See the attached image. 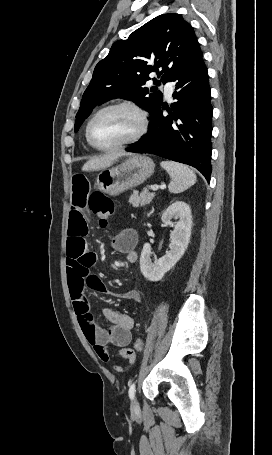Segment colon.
<instances>
[{
  "instance_id": "obj_1",
  "label": "colon",
  "mask_w": 272,
  "mask_h": 455,
  "mask_svg": "<svg viewBox=\"0 0 272 455\" xmlns=\"http://www.w3.org/2000/svg\"><path fill=\"white\" fill-rule=\"evenodd\" d=\"M88 204L91 212L97 217L100 227L106 228L114 212L113 201L102 195L100 192H93L89 197ZM143 347V339L137 338L134 343V350L140 352Z\"/></svg>"
}]
</instances>
